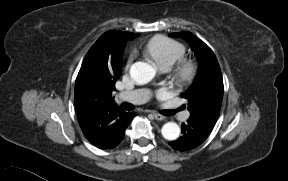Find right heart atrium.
Here are the masks:
<instances>
[{"label":"right heart atrium","instance_id":"1","mask_svg":"<svg viewBox=\"0 0 288 181\" xmlns=\"http://www.w3.org/2000/svg\"><path fill=\"white\" fill-rule=\"evenodd\" d=\"M130 63H131V57L128 59V61H127V67H129L130 66Z\"/></svg>","mask_w":288,"mask_h":181}]
</instances>
